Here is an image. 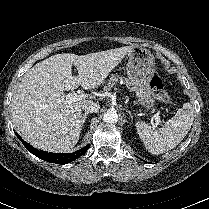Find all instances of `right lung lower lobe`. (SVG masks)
I'll return each mask as SVG.
<instances>
[{"instance_id": "right-lung-lower-lobe-1", "label": "right lung lower lobe", "mask_w": 209, "mask_h": 209, "mask_svg": "<svg viewBox=\"0 0 209 209\" xmlns=\"http://www.w3.org/2000/svg\"><path fill=\"white\" fill-rule=\"evenodd\" d=\"M16 136L23 142V145L26 147V149L36 155L37 157L56 164H67L69 162L74 161L78 157L82 156L90 147L89 145L85 146L84 148L77 150L73 153H48L42 150L35 149L31 145H29L27 142H25L17 133H15Z\"/></svg>"}]
</instances>
